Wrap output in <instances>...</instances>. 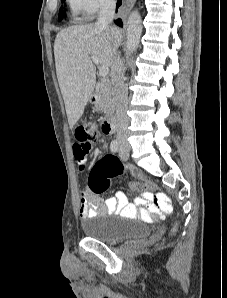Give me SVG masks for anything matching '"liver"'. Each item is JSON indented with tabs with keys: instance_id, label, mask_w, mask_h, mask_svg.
Returning a JSON list of instances; mask_svg holds the SVG:
<instances>
[{
	"instance_id": "obj_1",
	"label": "liver",
	"mask_w": 227,
	"mask_h": 298,
	"mask_svg": "<svg viewBox=\"0 0 227 298\" xmlns=\"http://www.w3.org/2000/svg\"><path fill=\"white\" fill-rule=\"evenodd\" d=\"M122 33L116 27L76 25L60 31L54 43L56 74L70 128L84 112L94 91L96 75L91 56L112 67Z\"/></svg>"
}]
</instances>
